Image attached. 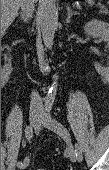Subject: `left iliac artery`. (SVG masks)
Returning a JSON list of instances; mask_svg holds the SVG:
<instances>
[{"mask_svg":"<svg viewBox=\"0 0 109 170\" xmlns=\"http://www.w3.org/2000/svg\"><path fill=\"white\" fill-rule=\"evenodd\" d=\"M49 110H50V106H48V108H46V111H49ZM75 151H76L78 161H82V159H83L82 151L77 144L75 145Z\"/></svg>","mask_w":109,"mask_h":170,"instance_id":"1","label":"left iliac artery"}]
</instances>
